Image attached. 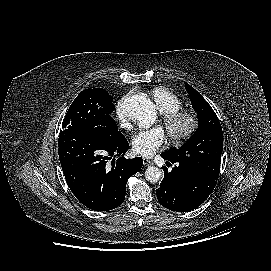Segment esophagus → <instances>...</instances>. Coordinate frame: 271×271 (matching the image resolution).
Here are the masks:
<instances>
[{
	"mask_svg": "<svg viewBox=\"0 0 271 271\" xmlns=\"http://www.w3.org/2000/svg\"><path fill=\"white\" fill-rule=\"evenodd\" d=\"M143 164L145 165V166H151V165H153V162L152 161H150L149 159H147V158H143Z\"/></svg>",
	"mask_w": 271,
	"mask_h": 271,
	"instance_id": "34e87169",
	"label": "esophagus"
}]
</instances>
